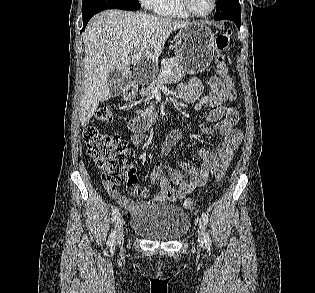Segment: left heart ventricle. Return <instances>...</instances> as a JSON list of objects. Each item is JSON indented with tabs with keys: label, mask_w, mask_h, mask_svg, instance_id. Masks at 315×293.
I'll list each match as a JSON object with an SVG mask.
<instances>
[{
	"label": "left heart ventricle",
	"mask_w": 315,
	"mask_h": 293,
	"mask_svg": "<svg viewBox=\"0 0 315 293\" xmlns=\"http://www.w3.org/2000/svg\"><path fill=\"white\" fill-rule=\"evenodd\" d=\"M192 9L198 14L207 13L212 7V0H190Z\"/></svg>",
	"instance_id": "1"
}]
</instances>
